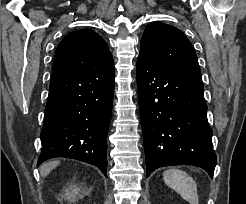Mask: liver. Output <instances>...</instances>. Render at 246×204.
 <instances>
[{"label":"liver","mask_w":246,"mask_h":204,"mask_svg":"<svg viewBox=\"0 0 246 204\" xmlns=\"http://www.w3.org/2000/svg\"><path fill=\"white\" fill-rule=\"evenodd\" d=\"M59 161H54V162H48L45 163L41 166L40 168V174L44 178L46 177L53 168L57 167L59 165Z\"/></svg>","instance_id":"6515ba94"}]
</instances>
